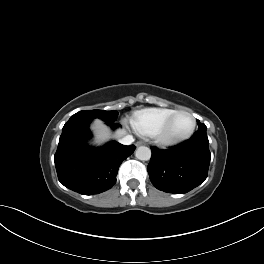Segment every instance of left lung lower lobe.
I'll return each mask as SVG.
<instances>
[{
	"label": "left lung lower lobe",
	"instance_id": "0a47b994",
	"mask_svg": "<svg viewBox=\"0 0 264 264\" xmlns=\"http://www.w3.org/2000/svg\"><path fill=\"white\" fill-rule=\"evenodd\" d=\"M151 150L147 170L158 190L184 194L207 178L210 151L206 130H198L190 140L167 150Z\"/></svg>",
	"mask_w": 264,
	"mask_h": 264
}]
</instances>
